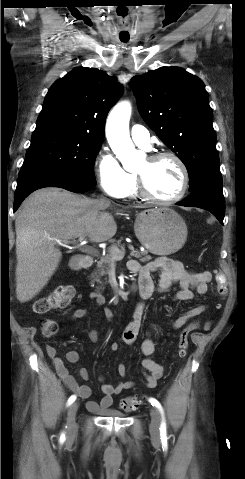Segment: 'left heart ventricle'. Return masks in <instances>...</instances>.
I'll list each match as a JSON object with an SVG mask.
<instances>
[{
  "instance_id": "1",
  "label": "left heart ventricle",
  "mask_w": 245,
  "mask_h": 479,
  "mask_svg": "<svg viewBox=\"0 0 245 479\" xmlns=\"http://www.w3.org/2000/svg\"><path fill=\"white\" fill-rule=\"evenodd\" d=\"M137 172L144 175L149 191L157 198L169 199L175 196L180 189V168L170 158L152 163L145 159Z\"/></svg>"
}]
</instances>
